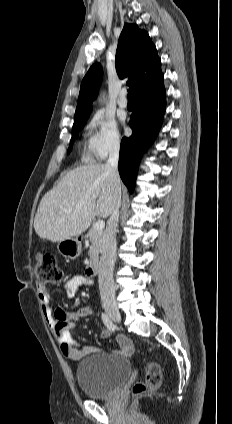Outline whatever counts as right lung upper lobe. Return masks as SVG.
<instances>
[{
    "mask_svg": "<svg viewBox=\"0 0 232 424\" xmlns=\"http://www.w3.org/2000/svg\"><path fill=\"white\" fill-rule=\"evenodd\" d=\"M120 78L129 76L136 93L152 86L161 76V60L146 31L135 24H125L121 32L115 58ZM102 67L93 64L82 80L74 121L89 117L92 102L98 94Z\"/></svg>",
    "mask_w": 232,
    "mask_h": 424,
    "instance_id": "obj_1",
    "label": "right lung upper lobe"
}]
</instances>
